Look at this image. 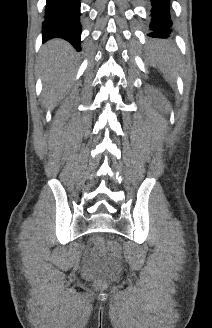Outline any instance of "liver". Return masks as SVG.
Returning a JSON list of instances; mask_svg holds the SVG:
<instances>
[{
  "instance_id": "1",
  "label": "liver",
  "mask_w": 212,
  "mask_h": 328,
  "mask_svg": "<svg viewBox=\"0 0 212 328\" xmlns=\"http://www.w3.org/2000/svg\"><path fill=\"white\" fill-rule=\"evenodd\" d=\"M74 55L72 47L65 41L55 39L47 43L42 55L46 104L58 101L64 84L70 78V67Z\"/></svg>"
}]
</instances>
